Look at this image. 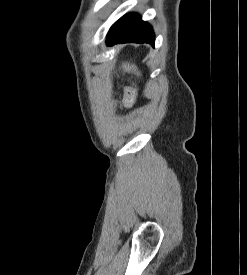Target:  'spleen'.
<instances>
[{"instance_id": "spleen-1", "label": "spleen", "mask_w": 247, "mask_h": 275, "mask_svg": "<svg viewBox=\"0 0 247 275\" xmlns=\"http://www.w3.org/2000/svg\"><path fill=\"white\" fill-rule=\"evenodd\" d=\"M123 67L125 68L126 71H131V70H134L136 71V67L134 65H129V64H124ZM138 74V72H137Z\"/></svg>"}]
</instances>
